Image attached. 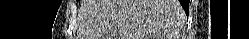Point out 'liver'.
Here are the masks:
<instances>
[{
  "label": "liver",
  "mask_w": 249,
  "mask_h": 39,
  "mask_svg": "<svg viewBox=\"0 0 249 39\" xmlns=\"http://www.w3.org/2000/svg\"><path fill=\"white\" fill-rule=\"evenodd\" d=\"M80 16V39H172L184 22L178 0H84Z\"/></svg>",
  "instance_id": "obj_1"
}]
</instances>
